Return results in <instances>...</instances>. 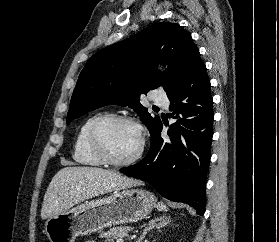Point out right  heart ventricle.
Segmentation results:
<instances>
[{"label": "right heart ventricle", "instance_id": "right-heart-ventricle-1", "mask_svg": "<svg viewBox=\"0 0 279 242\" xmlns=\"http://www.w3.org/2000/svg\"><path fill=\"white\" fill-rule=\"evenodd\" d=\"M104 114H95L88 117L80 126L73 145V160L82 166L98 167L104 165V162L95 154L90 145V130L97 119Z\"/></svg>", "mask_w": 279, "mask_h": 242}]
</instances>
